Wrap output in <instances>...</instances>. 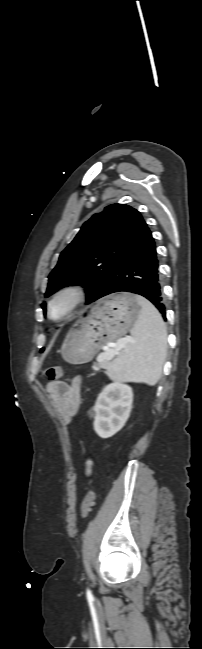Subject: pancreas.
Segmentation results:
<instances>
[{"label": "pancreas", "mask_w": 202, "mask_h": 649, "mask_svg": "<svg viewBox=\"0 0 202 649\" xmlns=\"http://www.w3.org/2000/svg\"><path fill=\"white\" fill-rule=\"evenodd\" d=\"M112 351H114V349H112ZM96 366L98 367V369L107 370L110 367V361L105 359V360H103L101 362H98Z\"/></svg>", "instance_id": "obj_1"}]
</instances>
